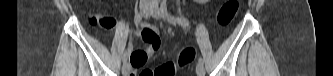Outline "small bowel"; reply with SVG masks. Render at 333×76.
Returning a JSON list of instances; mask_svg holds the SVG:
<instances>
[{"mask_svg":"<svg viewBox=\"0 0 333 76\" xmlns=\"http://www.w3.org/2000/svg\"><path fill=\"white\" fill-rule=\"evenodd\" d=\"M89 21L93 25H102L106 29L113 30L117 25V20L113 17H107L105 15L99 14L97 18L90 17ZM144 31L142 33L133 31L135 35H141L142 39L148 43L147 49L142 51H135L131 56V62L134 68H142L147 60L154 55V53L160 48V33L157 28L152 26H146L142 24ZM148 69H142V71H147Z\"/></svg>","mask_w":333,"mask_h":76,"instance_id":"1","label":"small bowel"}]
</instances>
